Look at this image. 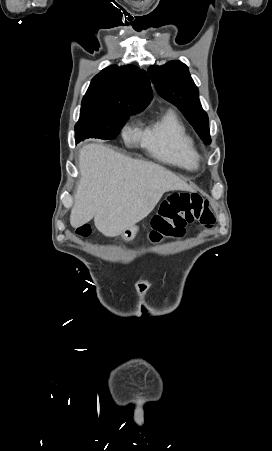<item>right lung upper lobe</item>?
Wrapping results in <instances>:
<instances>
[{"label":"right lung upper lobe","instance_id":"cb5924a9","mask_svg":"<svg viewBox=\"0 0 272 451\" xmlns=\"http://www.w3.org/2000/svg\"><path fill=\"white\" fill-rule=\"evenodd\" d=\"M151 99L152 89L145 71L134 65H114L92 79L81 106L145 108Z\"/></svg>","mask_w":272,"mask_h":451}]
</instances>
